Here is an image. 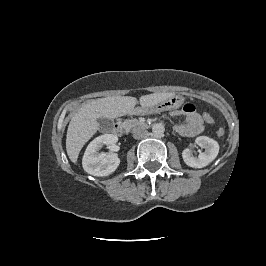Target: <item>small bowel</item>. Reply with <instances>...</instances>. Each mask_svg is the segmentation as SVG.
Wrapping results in <instances>:
<instances>
[{"instance_id":"obj_1","label":"small bowel","mask_w":266,"mask_h":266,"mask_svg":"<svg viewBox=\"0 0 266 266\" xmlns=\"http://www.w3.org/2000/svg\"><path fill=\"white\" fill-rule=\"evenodd\" d=\"M171 116H185V123H180L175 126V131L182 136L194 137L203 130L201 115L197 112L196 106L192 103L184 104L181 109L173 111Z\"/></svg>"}]
</instances>
